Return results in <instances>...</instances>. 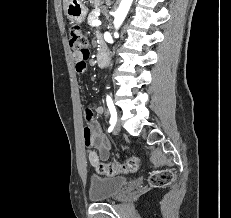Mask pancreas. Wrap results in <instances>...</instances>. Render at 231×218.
I'll list each match as a JSON object with an SVG mask.
<instances>
[{
    "label": "pancreas",
    "mask_w": 231,
    "mask_h": 218,
    "mask_svg": "<svg viewBox=\"0 0 231 218\" xmlns=\"http://www.w3.org/2000/svg\"><path fill=\"white\" fill-rule=\"evenodd\" d=\"M99 11L100 10L96 8V9L92 10L91 13L89 14V16H88V24L90 26L93 27V25H92L93 21L98 19V17L96 16V13L99 12Z\"/></svg>",
    "instance_id": "1"
}]
</instances>
